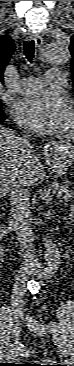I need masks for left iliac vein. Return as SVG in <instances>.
<instances>
[{"mask_svg":"<svg viewBox=\"0 0 74 366\" xmlns=\"http://www.w3.org/2000/svg\"><path fill=\"white\" fill-rule=\"evenodd\" d=\"M27 322H28V327L32 331H34L40 335L44 336V335H47L49 332L53 333L52 328L50 326L45 325V324L39 322L38 320H34L29 316L27 317ZM58 342H59V345H62V347L59 346L61 348L62 354L64 356H67L68 348H67L66 344L62 343L61 340H59V339H58Z\"/></svg>","mask_w":74,"mask_h":366,"instance_id":"1","label":"left iliac vein"}]
</instances>
